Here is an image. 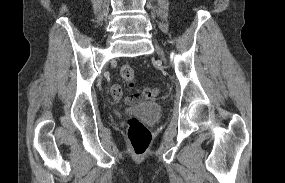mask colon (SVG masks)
Here are the masks:
<instances>
[{
    "label": "colon",
    "mask_w": 285,
    "mask_h": 183,
    "mask_svg": "<svg viewBox=\"0 0 285 183\" xmlns=\"http://www.w3.org/2000/svg\"><path fill=\"white\" fill-rule=\"evenodd\" d=\"M122 78L132 84L135 79V70L133 66L124 64L120 69ZM160 95L159 88H146L141 92L127 99V103L132 104L138 102L140 99L153 100ZM128 126V139L131 149L134 154H144L151 143V132L150 130L138 119L130 118L127 122Z\"/></svg>",
    "instance_id": "1"
}]
</instances>
